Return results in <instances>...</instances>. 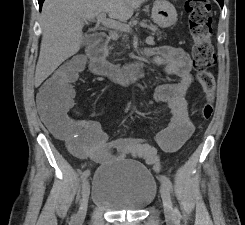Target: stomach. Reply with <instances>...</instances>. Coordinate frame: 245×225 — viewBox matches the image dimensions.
Returning <instances> with one entry per match:
<instances>
[{
  "instance_id": "obj_1",
  "label": "stomach",
  "mask_w": 245,
  "mask_h": 225,
  "mask_svg": "<svg viewBox=\"0 0 245 225\" xmlns=\"http://www.w3.org/2000/svg\"><path fill=\"white\" fill-rule=\"evenodd\" d=\"M153 21L161 28H168L177 21L175 7L166 0H157L152 8Z\"/></svg>"
}]
</instances>
